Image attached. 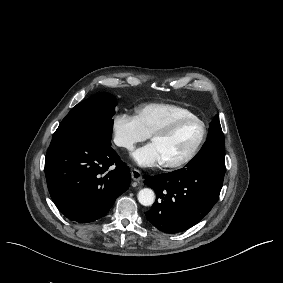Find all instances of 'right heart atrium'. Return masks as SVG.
Instances as JSON below:
<instances>
[{
	"instance_id": "obj_1",
	"label": "right heart atrium",
	"mask_w": 283,
	"mask_h": 283,
	"mask_svg": "<svg viewBox=\"0 0 283 283\" xmlns=\"http://www.w3.org/2000/svg\"><path fill=\"white\" fill-rule=\"evenodd\" d=\"M110 133L113 144L126 150H131L136 143L149 137L139 116L128 112L113 114L110 122Z\"/></svg>"
}]
</instances>
